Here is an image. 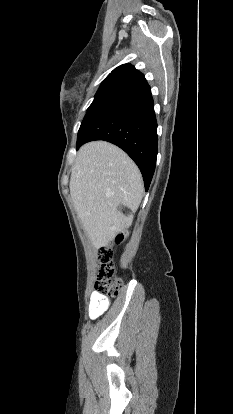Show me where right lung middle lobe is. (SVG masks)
Instances as JSON below:
<instances>
[{
  "label": "right lung middle lobe",
  "mask_w": 233,
  "mask_h": 414,
  "mask_svg": "<svg viewBox=\"0 0 233 414\" xmlns=\"http://www.w3.org/2000/svg\"><path fill=\"white\" fill-rule=\"evenodd\" d=\"M133 83L134 81L132 80L123 79L120 77H107L100 85L92 104L88 108V111L100 102H102L103 100L128 89L130 86L133 85Z\"/></svg>",
  "instance_id": "dd1d6c3e"
}]
</instances>
